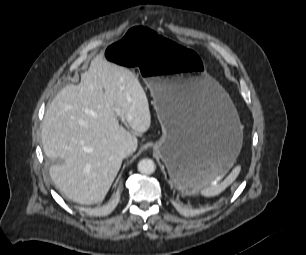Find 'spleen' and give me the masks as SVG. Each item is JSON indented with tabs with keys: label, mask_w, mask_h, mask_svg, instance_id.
<instances>
[{
	"label": "spleen",
	"mask_w": 306,
	"mask_h": 255,
	"mask_svg": "<svg viewBox=\"0 0 306 255\" xmlns=\"http://www.w3.org/2000/svg\"><path fill=\"white\" fill-rule=\"evenodd\" d=\"M240 172V166H236L231 173L225 178L224 181L218 185H211L201 189V194L206 197H211L221 193L226 187H228L238 176Z\"/></svg>",
	"instance_id": "3e777b00"
}]
</instances>
